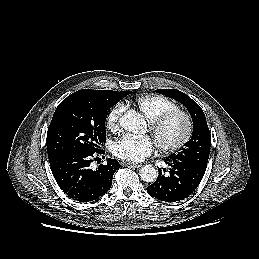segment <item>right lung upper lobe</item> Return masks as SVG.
Listing matches in <instances>:
<instances>
[{"instance_id":"obj_1","label":"right lung upper lobe","mask_w":259,"mask_h":259,"mask_svg":"<svg viewBox=\"0 0 259 259\" xmlns=\"http://www.w3.org/2000/svg\"><path fill=\"white\" fill-rule=\"evenodd\" d=\"M84 91H89L98 95L107 96V97H113V98H120L127 96L130 91H111V90H90V89H83Z\"/></svg>"}]
</instances>
